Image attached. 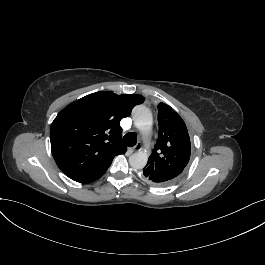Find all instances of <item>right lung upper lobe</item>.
I'll use <instances>...</instances> for the list:
<instances>
[{"instance_id": "obj_1", "label": "right lung upper lobe", "mask_w": 265, "mask_h": 265, "mask_svg": "<svg viewBox=\"0 0 265 265\" xmlns=\"http://www.w3.org/2000/svg\"><path fill=\"white\" fill-rule=\"evenodd\" d=\"M144 102L135 94L103 91L89 94L65 107L50 129L53 157L69 178L91 183L100 178L118 154H124L120 120Z\"/></svg>"}]
</instances>
